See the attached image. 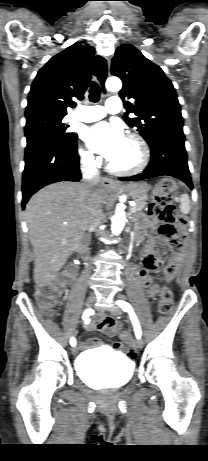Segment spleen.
<instances>
[{
  "label": "spleen",
  "mask_w": 208,
  "mask_h": 461,
  "mask_svg": "<svg viewBox=\"0 0 208 461\" xmlns=\"http://www.w3.org/2000/svg\"><path fill=\"white\" fill-rule=\"evenodd\" d=\"M180 211L183 214H188L190 212V199L187 194H182L180 197Z\"/></svg>",
  "instance_id": "obj_1"
}]
</instances>
